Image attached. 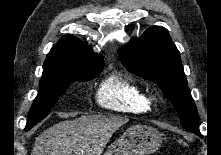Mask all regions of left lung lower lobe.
<instances>
[{"instance_id": "obj_1", "label": "left lung lower lobe", "mask_w": 221, "mask_h": 155, "mask_svg": "<svg viewBox=\"0 0 221 155\" xmlns=\"http://www.w3.org/2000/svg\"><path fill=\"white\" fill-rule=\"evenodd\" d=\"M196 134H197L198 136L202 137L201 134H200V132H198V133H196Z\"/></svg>"}]
</instances>
